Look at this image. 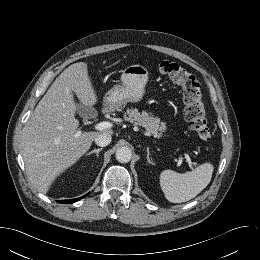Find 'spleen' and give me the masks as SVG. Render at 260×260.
Here are the masks:
<instances>
[{"label":"spleen","instance_id":"1","mask_svg":"<svg viewBox=\"0 0 260 260\" xmlns=\"http://www.w3.org/2000/svg\"><path fill=\"white\" fill-rule=\"evenodd\" d=\"M213 170L214 167L210 162L185 173L164 170L160 174V186L168 201L186 202L206 188L211 181Z\"/></svg>","mask_w":260,"mask_h":260}]
</instances>
